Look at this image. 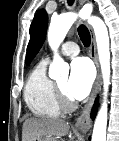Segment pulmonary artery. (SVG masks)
I'll return each mask as SVG.
<instances>
[{
  "instance_id": "obj_1",
  "label": "pulmonary artery",
  "mask_w": 119,
  "mask_h": 141,
  "mask_svg": "<svg viewBox=\"0 0 119 141\" xmlns=\"http://www.w3.org/2000/svg\"><path fill=\"white\" fill-rule=\"evenodd\" d=\"M59 53L62 56H75L79 53V46L73 41H67L62 44ZM49 59L50 57H47L45 61H48Z\"/></svg>"
}]
</instances>
